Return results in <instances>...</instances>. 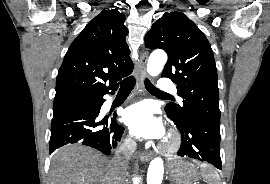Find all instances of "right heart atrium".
I'll return each mask as SVG.
<instances>
[{"label": "right heart atrium", "instance_id": "right-heart-atrium-1", "mask_svg": "<svg viewBox=\"0 0 270 184\" xmlns=\"http://www.w3.org/2000/svg\"><path fill=\"white\" fill-rule=\"evenodd\" d=\"M126 144H127L128 146H132V141H131V140H126Z\"/></svg>", "mask_w": 270, "mask_h": 184}]
</instances>
